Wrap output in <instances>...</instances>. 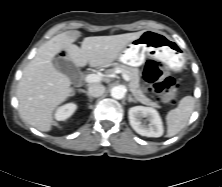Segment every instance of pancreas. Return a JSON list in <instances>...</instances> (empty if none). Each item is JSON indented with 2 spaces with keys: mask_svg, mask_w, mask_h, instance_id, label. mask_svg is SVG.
<instances>
[{
  "mask_svg": "<svg viewBox=\"0 0 222 187\" xmlns=\"http://www.w3.org/2000/svg\"><path fill=\"white\" fill-rule=\"evenodd\" d=\"M114 70H118L121 73H125L129 76L130 78V83H129V88L130 91L132 92L133 96L135 97L136 101H139L140 103L158 108L159 105L156 102H153L149 98H147L144 94L143 91L140 88V75H139V69L138 68H133L129 67L126 65H117Z\"/></svg>",
  "mask_w": 222,
  "mask_h": 187,
  "instance_id": "obj_1",
  "label": "pancreas"
}]
</instances>
